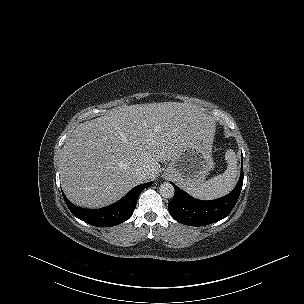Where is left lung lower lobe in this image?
<instances>
[{"label":"left lung lower lobe","mask_w":304,"mask_h":304,"mask_svg":"<svg viewBox=\"0 0 304 304\" xmlns=\"http://www.w3.org/2000/svg\"><path fill=\"white\" fill-rule=\"evenodd\" d=\"M243 178L242 155L239 181L234 190L223 198L213 201L197 200L172 183L175 194L168 204L169 212L176 221L189 226H205L220 221L234 208L242 189Z\"/></svg>","instance_id":"left-lung-lower-lobe-1"}]
</instances>
